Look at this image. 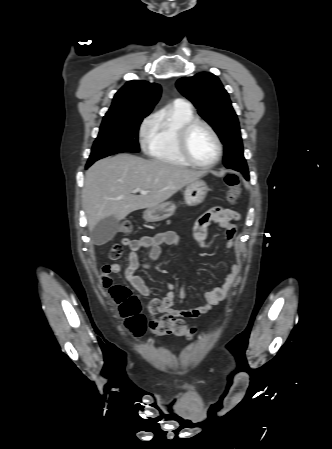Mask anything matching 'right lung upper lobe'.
Listing matches in <instances>:
<instances>
[{
	"label": "right lung upper lobe",
	"mask_w": 332,
	"mask_h": 449,
	"mask_svg": "<svg viewBox=\"0 0 332 449\" xmlns=\"http://www.w3.org/2000/svg\"><path fill=\"white\" fill-rule=\"evenodd\" d=\"M161 95V87L147 81H128L114 96L104 117L148 115Z\"/></svg>",
	"instance_id": "cb5924a9"
}]
</instances>
